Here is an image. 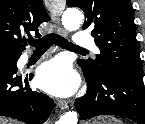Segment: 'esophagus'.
Segmentation results:
<instances>
[{
    "instance_id": "1",
    "label": "esophagus",
    "mask_w": 145,
    "mask_h": 124,
    "mask_svg": "<svg viewBox=\"0 0 145 124\" xmlns=\"http://www.w3.org/2000/svg\"><path fill=\"white\" fill-rule=\"evenodd\" d=\"M64 9V3L62 1H52L49 5V10L51 12L52 20L54 22V25L57 29V32L62 36H67V32L64 30V28L61 26L60 22V16ZM69 101L61 100L58 103V106L61 109H67L69 107Z\"/></svg>"
}]
</instances>
